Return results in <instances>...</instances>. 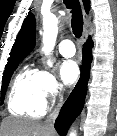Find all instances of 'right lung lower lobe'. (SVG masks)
Here are the masks:
<instances>
[{"mask_svg":"<svg viewBox=\"0 0 117 136\" xmlns=\"http://www.w3.org/2000/svg\"><path fill=\"white\" fill-rule=\"evenodd\" d=\"M93 41L89 37L83 47V59L81 77L74 90L64 103L55 121V129L60 136H65L73 120L81 113L85 96L87 93V83L90 77V64L92 62Z\"/></svg>","mask_w":117,"mask_h":136,"instance_id":"obj_1","label":"right lung lower lobe"}]
</instances>
